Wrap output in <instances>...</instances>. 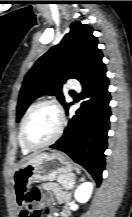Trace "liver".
Returning <instances> with one entry per match:
<instances>
[{
	"instance_id": "obj_1",
	"label": "liver",
	"mask_w": 132,
	"mask_h": 217,
	"mask_svg": "<svg viewBox=\"0 0 132 217\" xmlns=\"http://www.w3.org/2000/svg\"><path fill=\"white\" fill-rule=\"evenodd\" d=\"M34 156H36V155L29 156V157L25 158L24 161H25V160H29V159L33 158Z\"/></svg>"
}]
</instances>
